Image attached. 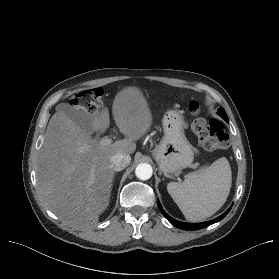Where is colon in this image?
Wrapping results in <instances>:
<instances>
[{"mask_svg": "<svg viewBox=\"0 0 279 279\" xmlns=\"http://www.w3.org/2000/svg\"><path fill=\"white\" fill-rule=\"evenodd\" d=\"M103 90L93 88L78 93L72 100V105L87 113H95L102 106ZM189 110L194 116L192 131L199 142L208 150L223 149L229 144V137L224 125L216 120H207L200 115V105L196 101L189 104Z\"/></svg>", "mask_w": 279, "mask_h": 279, "instance_id": "colon-1", "label": "colon"}]
</instances>
